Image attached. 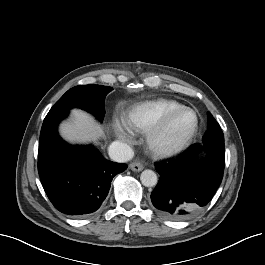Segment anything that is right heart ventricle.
<instances>
[{
    "label": "right heart ventricle",
    "instance_id": "e07e8e85",
    "mask_svg": "<svg viewBox=\"0 0 265 265\" xmlns=\"http://www.w3.org/2000/svg\"><path fill=\"white\" fill-rule=\"evenodd\" d=\"M183 105L172 99H157L139 104L122 117L123 126L131 133H147L166 113Z\"/></svg>",
    "mask_w": 265,
    "mask_h": 265
}]
</instances>
